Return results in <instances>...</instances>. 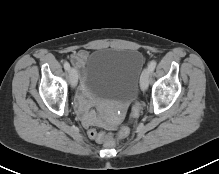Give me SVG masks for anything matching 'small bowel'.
<instances>
[{"mask_svg": "<svg viewBox=\"0 0 219 174\" xmlns=\"http://www.w3.org/2000/svg\"><path fill=\"white\" fill-rule=\"evenodd\" d=\"M87 58L88 52L86 50H79L71 55V61L73 65L78 69L84 66ZM87 98V92L83 87L77 95V105L85 125L90 124L96 119L95 114L89 111Z\"/></svg>", "mask_w": 219, "mask_h": 174, "instance_id": "1", "label": "small bowel"}]
</instances>
